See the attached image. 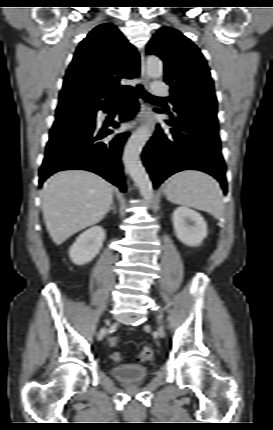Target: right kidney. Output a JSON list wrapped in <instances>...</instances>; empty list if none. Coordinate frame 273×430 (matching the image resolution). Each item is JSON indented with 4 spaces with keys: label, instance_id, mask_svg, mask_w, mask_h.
Instances as JSON below:
<instances>
[{
    "label": "right kidney",
    "instance_id": "1",
    "mask_svg": "<svg viewBox=\"0 0 273 430\" xmlns=\"http://www.w3.org/2000/svg\"><path fill=\"white\" fill-rule=\"evenodd\" d=\"M105 231L101 226H94L83 232L69 250L71 261L76 265H84L92 261L99 253Z\"/></svg>",
    "mask_w": 273,
    "mask_h": 430
}]
</instances>
